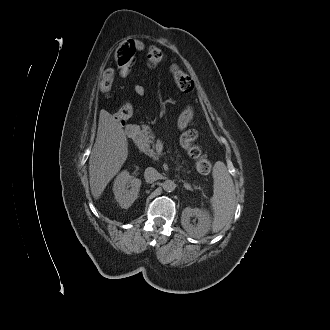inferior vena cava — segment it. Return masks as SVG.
<instances>
[{"mask_svg":"<svg viewBox=\"0 0 330 330\" xmlns=\"http://www.w3.org/2000/svg\"><path fill=\"white\" fill-rule=\"evenodd\" d=\"M160 177V174L158 171L152 167H148L145 169L144 172V178L147 183H153L156 180H158Z\"/></svg>","mask_w":330,"mask_h":330,"instance_id":"inferior-vena-cava-1","label":"inferior vena cava"}]
</instances>
